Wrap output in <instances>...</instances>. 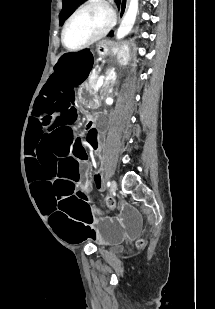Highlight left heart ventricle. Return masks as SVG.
<instances>
[{"label":"left heart ventricle","instance_id":"b2bd125f","mask_svg":"<svg viewBox=\"0 0 215 309\" xmlns=\"http://www.w3.org/2000/svg\"><path fill=\"white\" fill-rule=\"evenodd\" d=\"M104 24V14L99 11H87L80 14L69 26L66 42L70 46H77L93 37L94 29H100Z\"/></svg>","mask_w":215,"mask_h":309}]
</instances>
